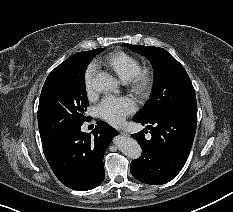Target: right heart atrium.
I'll list each match as a JSON object with an SVG mask.
<instances>
[{
    "mask_svg": "<svg viewBox=\"0 0 233 212\" xmlns=\"http://www.w3.org/2000/svg\"><path fill=\"white\" fill-rule=\"evenodd\" d=\"M95 73V65L90 64L84 73V86L88 96L93 95V77Z\"/></svg>",
    "mask_w": 233,
    "mask_h": 212,
    "instance_id": "1",
    "label": "right heart atrium"
}]
</instances>
